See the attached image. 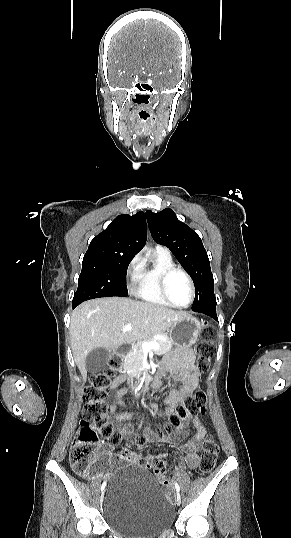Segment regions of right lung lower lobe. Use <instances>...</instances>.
Returning <instances> with one entry per match:
<instances>
[{"mask_svg":"<svg viewBox=\"0 0 291 538\" xmlns=\"http://www.w3.org/2000/svg\"><path fill=\"white\" fill-rule=\"evenodd\" d=\"M77 305H73V308H75Z\"/></svg>","mask_w":291,"mask_h":538,"instance_id":"right-lung-lower-lobe-1","label":"right lung lower lobe"}]
</instances>
